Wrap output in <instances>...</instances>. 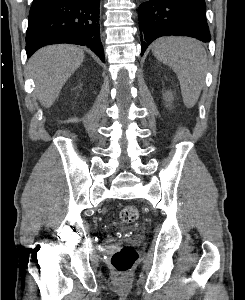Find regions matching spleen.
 <instances>
[{
    "mask_svg": "<svg viewBox=\"0 0 245 300\" xmlns=\"http://www.w3.org/2000/svg\"><path fill=\"white\" fill-rule=\"evenodd\" d=\"M153 55L172 67L177 74L183 102L190 108L201 93L206 72L207 55L196 40L185 37H164L152 45Z\"/></svg>",
    "mask_w": 245,
    "mask_h": 300,
    "instance_id": "obj_1",
    "label": "spleen"
}]
</instances>
